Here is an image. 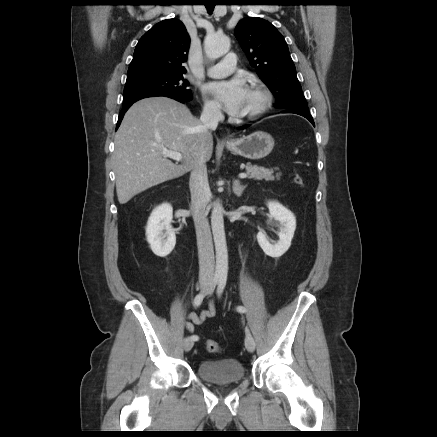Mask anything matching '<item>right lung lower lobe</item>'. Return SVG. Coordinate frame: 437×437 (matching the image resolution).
Instances as JSON below:
<instances>
[{"label":"right lung lower lobe","mask_w":437,"mask_h":437,"mask_svg":"<svg viewBox=\"0 0 437 437\" xmlns=\"http://www.w3.org/2000/svg\"><path fill=\"white\" fill-rule=\"evenodd\" d=\"M166 97H169V98L175 99V100H177V101H179V102H181V103L189 102V101H191V99H192V98H180V97L167 96V95H166ZM133 103H134V102H133ZM133 103L123 105V108H122V110L120 111V115H119V119H118V122H117L116 130L118 129V127H119V125H120V123H121V121H122V118H123L125 112L128 110V108H129Z\"/></svg>","instance_id":"1"}]
</instances>
